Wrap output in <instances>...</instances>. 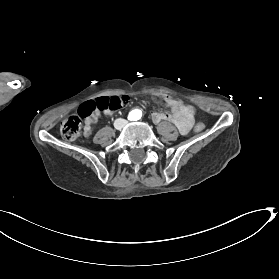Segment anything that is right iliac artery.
<instances>
[{"label":"right iliac artery","instance_id":"obj_1","mask_svg":"<svg viewBox=\"0 0 279 279\" xmlns=\"http://www.w3.org/2000/svg\"><path fill=\"white\" fill-rule=\"evenodd\" d=\"M128 119H129V120H132V117H131V116H129V117H128Z\"/></svg>","mask_w":279,"mask_h":279}]
</instances>
